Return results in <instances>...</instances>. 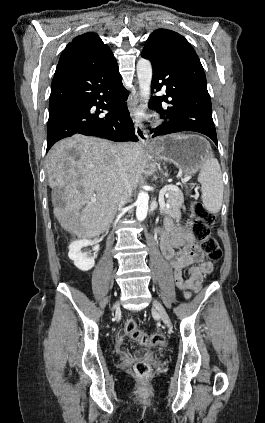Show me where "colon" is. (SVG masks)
Wrapping results in <instances>:
<instances>
[{
    "label": "colon",
    "mask_w": 265,
    "mask_h": 423,
    "mask_svg": "<svg viewBox=\"0 0 265 423\" xmlns=\"http://www.w3.org/2000/svg\"><path fill=\"white\" fill-rule=\"evenodd\" d=\"M194 219L192 232L195 240L200 244L204 254L212 261L222 258V250L218 241L211 236L210 230L215 222L214 215L200 203H192ZM125 331L132 339L147 347H161L165 344V337L160 333L148 334L138 328L135 320L129 319L125 323ZM134 372L140 378H146L151 374L150 366L145 361H137Z\"/></svg>",
    "instance_id": "obj_1"
}]
</instances>
